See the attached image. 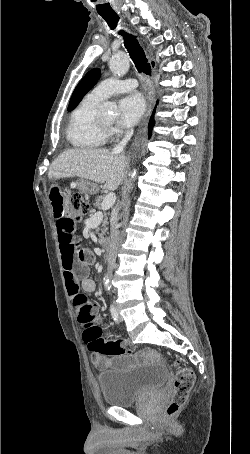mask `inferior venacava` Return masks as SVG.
Segmentation results:
<instances>
[{
	"instance_id": "obj_1",
	"label": "inferior vena cava",
	"mask_w": 250,
	"mask_h": 454,
	"mask_svg": "<svg viewBox=\"0 0 250 454\" xmlns=\"http://www.w3.org/2000/svg\"><path fill=\"white\" fill-rule=\"evenodd\" d=\"M133 135V129L126 131L124 138L116 147L113 149V153L119 154L122 153L126 144L130 140ZM117 211V210H116ZM111 241L110 245L107 249V263H108V270L109 274L112 272L113 268L115 267L116 256H117V249L120 242V231L118 229V218L117 216L111 223Z\"/></svg>"
}]
</instances>
